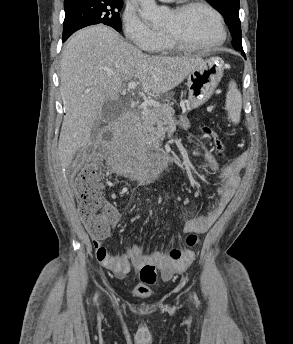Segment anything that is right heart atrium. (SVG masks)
<instances>
[{"label": "right heart atrium", "mask_w": 293, "mask_h": 344, "mask_svg": "<svg viewBox=\"0 0 293 344\" xmlns=\"http://www.w3.org/2000/svg\"><path fill=\"white\" fill-rule=\"evenodd\" d=\"M122 28L126 39L136 50L151 51L161 38V33L153 29L131 8L124 10Z\"/></svg>", "instance_id": "obj_1"}]
</instances>
